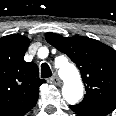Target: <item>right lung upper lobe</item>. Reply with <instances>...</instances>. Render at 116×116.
Instances as JSON below:
<instances>
[{
  "label": "right lung upper lobe",
  "mask_w": 116,
  "mask_h": 116,
  "mask_svg": "<svg viewBox=\"0 0 116 116\" xmlns=\"http://www.w3.org/2000/svg\"><path fill=\"white\" fill-rule=\"evenodd\" d=\"M27 37L12 34L0 38V116H24L37 103L39 78L35 63L24 61Z\"/></svg>",
  "instance_id": "1"
}]
</instances>
